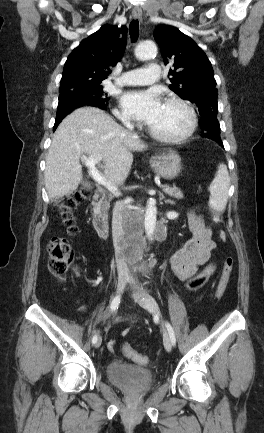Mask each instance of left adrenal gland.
Listing matches in <instances>:
<instances>
[{
	"mask_svg": "<svg viewBox=\"0 0 264 433\" xmlns=\"http://www.w3.org/2000/svg\"><path fill=\"white\" fill-rule=\"evenodd\" d=\"M165 203H166V204H170V205H174V204H175V201H174V200H171V199H167V200H165Z\"/></svg>",
	"mask_w": 264,
	"mask_h": 433,
	"instance_id": "a2214340",
	"label": "left adrenal gland"
}]
</instances>
